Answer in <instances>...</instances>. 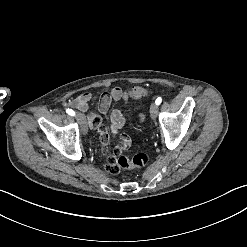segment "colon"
I'll return each instance as SVG.
<instances>
[{"mask_svg": "<svg viewBox=\"0 0 247 247\" xmlns=\"http://www.w3.org/2000/svg\"><path fill=\"white\" fill-rule=\"evenodd\" d=\"M130 94L135 99H140L149 94L148 88L142 85L133 86ZM149 155L144 152L136 153L132 158L130 156L119 157L117 159V164L122 166L128 171H131L136 167L137 169H142L149 162Z\"/></svg>", "mask_w": 247, "mask_h": 247, "instance_id": "colon-1", "label": "colon"}]
</instances>
